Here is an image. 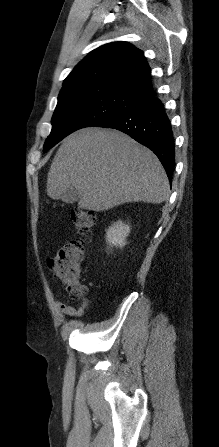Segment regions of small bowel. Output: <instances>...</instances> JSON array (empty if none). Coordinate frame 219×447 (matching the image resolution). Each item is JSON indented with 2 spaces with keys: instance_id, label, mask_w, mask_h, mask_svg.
I'll return each mask as SVG.
<instances>
[{
  "instance_id": "c3829d8e",
  "label": "small bowel",
  "mask_w": 219,
  "mask_h": 447,
  "mask_svg": "<svg viewBox=\"0 0 219 447\" xmlns=\"http://www.w3.org/2000/svg\"><path fill=\"white\" fill-rule=\"evenodd\" d=\"M57 308L66 316L80 317L89 307V300L82 298L77 305H68L63 302H56Z\"/></svg>"
}]
</instances>
